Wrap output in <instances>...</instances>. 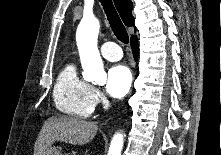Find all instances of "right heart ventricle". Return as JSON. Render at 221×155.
Masks as SVG:
<instances>
[{
    "mask_svg": "<svg viewBox=\"0 0 221 155\" xmlns=\"http://www.w3.org/2000/svg\"><path fill=\"white\" fill-rule=\"evenodd\" d=\"M56 108L67 115L88 117L94 110L91 85L82 79L74 64L60 71L53 90Z\"/></svg>",
    "mask_w": 221,
    "mask_h": 155,
    "instance_id": "1",
    "label": "right heart ventricle"
}]
</instances>
